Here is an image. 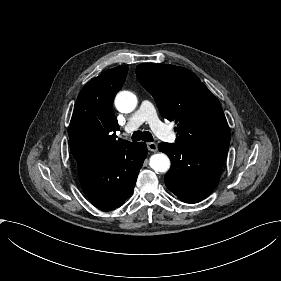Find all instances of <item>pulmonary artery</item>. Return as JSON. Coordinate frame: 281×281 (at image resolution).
I'll use <instances>...</instances> for the list:
<instances>
[{
    "instance_id": "pulmonary-artery-1",
    "label": "pulmonary artery",
    "mask_w": 281,
    "mask_h": 281,
    "mask_svg": "<svg viewBox=\"0 0 281 281\" xmlns=\"http://www.w3.org/2000/svg\"><path fill=\"white\" fill-rule=\"evenodd\" d=\"M145 121L149 123L151 128L164 125L157 117L153 105L148 99L143 100L138 110L129 117L124 130L132 131Z\"/></svg>"
}]
</instances>
